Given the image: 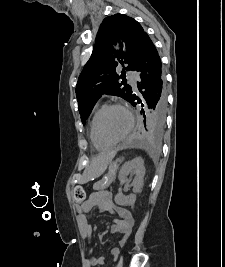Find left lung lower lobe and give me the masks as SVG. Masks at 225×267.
<instances>
[{"mask_svg": "<svg viewBox=\"0 0 225 267\" xmlns=\"http://www.w3.org/2000/svg\"><path fill=\"white\" fill-rule=\"evenodd\" d=\"M134 71L139 75L137 86L141 94L138 97L132 93L129 102L133 106L140 104L145 110L151 112L155 119H165V77L161 59L148 35L143 39Z\"/></svg>", "mask_w": 225, "mask_h": 267, "instance_id": "obj_1", "label": "left lung lower lobe"}]
</instances>
